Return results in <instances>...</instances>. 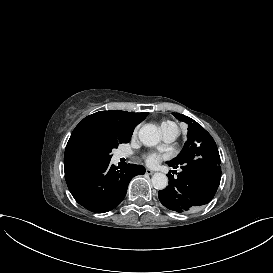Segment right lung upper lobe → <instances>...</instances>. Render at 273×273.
Returning <instances> with one entry per match:
<instances>
[{
	"instance_id": "right-lung-upper-lobe-1",
	"label": "right lung upper lobe",
	"mask_w": 273,
	"mask_h": 273,
	"mask_svg": "<svg viewBox=\"0 0 273 273\" xmlns=\"http://www.w3.org/2000/svg\"><path fill=\"white\" fill-rule=\"evenodd\" d=\"M147 114V112L132 113L108 110L85 117L73 130L65 149L64 171L66 181L83 170L94 166L80 152V146L85 139L95 137L128 143L134 128L145 119Z\"/></svg>"
}]
</instances>
